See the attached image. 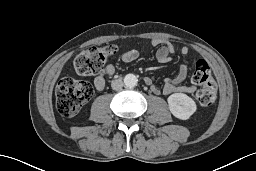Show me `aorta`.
<instances>
[{
	"label": "aorta",
	"mask_w": 256,
	"mask_h": 171,
	"mask_svg": "<svg viewBox=\"0 0 256 171\" xmlns=\"http://www.w3.org/2000/svg\"><path fill=\"white\" fill-rule=\"evenodd\" d=\"M138 79L134 74H127L124 77V84L129 87L133 88L137 85Z\"/></svg>",
	"instance_id": "762f6f07"
}]
</instances>
